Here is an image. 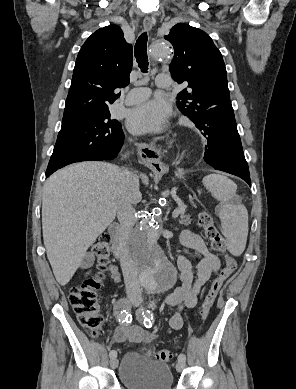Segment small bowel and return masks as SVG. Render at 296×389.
<instances>
[{"label": "small bowel", "mask_w": 296, "mask_h": 389, "mask_svg": "<svg viewBox=\"0 0 296 389\" xmlns=\"http://www.w3.org/2000/svg\"><path fill=\"white\" fill-rule=\"evenodd\" d=\"M181 243L186 251H193L199 259L196 274L192 269L190 260L185 255H180L177 259V266L180 271L181 285L168 294L164 302L168 306H179L181 311L184 308H194L206 284L220 268L219 259L206 247L202 238L189 230L181 234ZM94 263V256L87 253L82 258L79 268L86 269L87 275L91 274L90 268ZM111 277L115 283L120 281V273L114 265L109 266ZM170 327L177 330L183 325V318L180 312L173 314L169 320ZM154 335L148 330L133 324L120 325L113 336V342L119 343L130 340L135 343L149 342Z\"/></svg>", "instance_id": "c3829d8e"}]
</instances>
